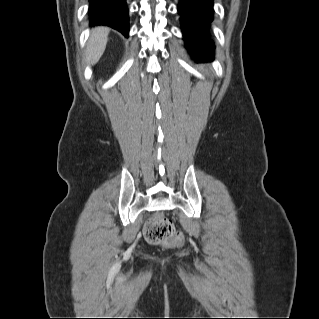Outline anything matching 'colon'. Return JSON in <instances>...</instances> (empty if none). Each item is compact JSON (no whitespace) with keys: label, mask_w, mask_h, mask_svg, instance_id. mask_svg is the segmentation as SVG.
<instances>
[{"label":"colon","mask_w":319,"mask_h":319,"mask_svg":"<svg viewBox=\"0 0 319 319\" xmlns=\"http://www.w3.org/2000/svg\"><path fill=\"white\" fill-rule=\"evenodd\" d=\"M144 234L151 243L174 247L184 244V235L181 232H177L173 223L161 215H155L146 222Z\"/></svg>","instance_id":"1"}]
</instances>
